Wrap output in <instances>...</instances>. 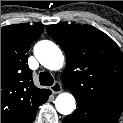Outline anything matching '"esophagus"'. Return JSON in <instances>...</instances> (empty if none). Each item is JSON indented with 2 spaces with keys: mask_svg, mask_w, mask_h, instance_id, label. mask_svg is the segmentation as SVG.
<instances>
[{
  "mask_svg": "<svg viewBox=\"0 0 123 123\" xmlns=\"http://www.w3.org/2000/svg\"><path fill=\"white\" fill-rule=\"evenodd\" d=\"M51 91L54 93V94H58L62 91V85L60 82L56 81L54 82V84L51 86Z\"/></svg>",
  "mask_w": 123,
  "mask_h": 123,
  "instance_id": "obj_1",
  "label": "esophagus"
}]
</instances>
